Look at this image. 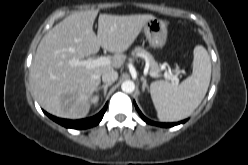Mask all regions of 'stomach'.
<instances>
[{"instance_id": "stomach-1", "label": "stomach", "mask_w": 248, "mask_h": 165, "mask_svg": "<svg viewBox=\"0 0 248 165\" xmlns=\"http://www.w3.org/2000/svg\"><path fill=\"white\" fill-rule=\"evenodd\" d=\"M144 34L151 47L162 48L167 40V25L164 21L154 17L143 27Z\"/></svg>"}]
</instances>
